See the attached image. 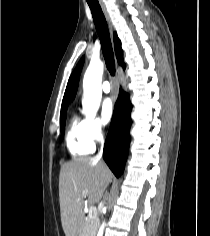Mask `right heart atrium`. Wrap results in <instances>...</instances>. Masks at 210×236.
Masks as SVG:
<instances>
[{
    "label": "right heart atrium",
    "mask_w": 210,
    "mask_h": 236,
    "mask_svg": "<svg viewBox=\"0 0 210 236\" xmlns=\"http://www.w3.org/2000/svg\"><path fill=\"white\" fill-rule=\"evenodd\" d=\"M87 133L93 142H97L103 137V125L98 118L87 119Z\"/></svg>",
    "instance_id": "right-heart-atrium-1"
}]
</instances>
